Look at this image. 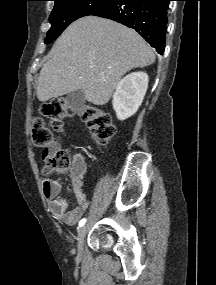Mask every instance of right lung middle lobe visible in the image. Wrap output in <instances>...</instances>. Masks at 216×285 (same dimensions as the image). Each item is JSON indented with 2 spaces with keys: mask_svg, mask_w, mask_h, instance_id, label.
<instances>
[{
  "mask_svg": "<svg viewBox=\"0 0 216 285\" xmlns=\"http://www.w3.org/2000/svg\"><path fill=\"white\" fill-rule=\"evenodd\" d=\"M54 8L49 17L51 28L47 33L45 43L55 40L73 21L89 15L99 7L112 0H53Z\"/></svg>",
  "mask_w": 216,
  "mask_h": 285,
  "instance_id": "1",
  "label": "right lung middle lobe"
}]
</instances>
